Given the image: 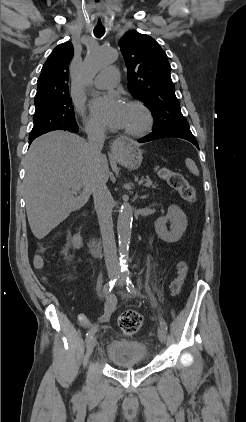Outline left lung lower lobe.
I'll use <instances>...</instances> for the list:
<instances>
[{
  "label": "left lung lower lobe",
  "mask_w": 246,
  "mask_h": 422,
  "mask_svg": "<svg viewBox=\"0 0 246 422\" xmlns=\"http://www.w3.org/2000/svg\"><path fill=\"white\" fill-rule=\"evenodd\" d=\"M168 137H176V138H182V139L188 140L199 149L198 143L190 130H168V131L152 132L148 134L147 136L139 139L138 142L144 143V142L162 139V138H168Z\"/></svg>",
  "instance_id": "0a47b994"
}]
</instances>
